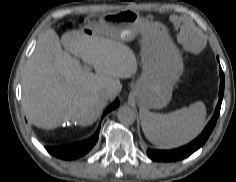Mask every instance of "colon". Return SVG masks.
<instances>
[{
	"label": "colon",
	"mask_w": 236,
	"mask_h": 182,
	"mask_svg": "<svg viewBox=\"0 0 236 182\" xmlns=\"http://www.w3.org/2000/svg\"><path fill=\"white\" fill-rule=\"evenodd\" d=\"M83 21H84L83 19H80L79 23H83ZM66 27H71V23L66 24Z\"/></svg>",
	"instance_id": "colon-1"
}]
</instances>
